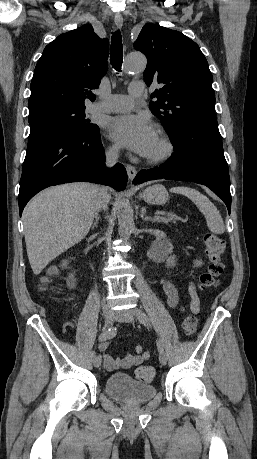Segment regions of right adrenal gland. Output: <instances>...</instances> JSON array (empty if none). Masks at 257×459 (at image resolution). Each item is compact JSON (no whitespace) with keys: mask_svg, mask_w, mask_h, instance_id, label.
Instances as JSON below:
<instances>
[{"mask_svg":"<svg viewBox=\"0 0 257 459\" xmlns=\"http://www.w3.org/2000/svg\"><path fill=\"white\" fill-rule=\"evenodd\" d=\"M95 221L93 222L92 226H91V229H94V228H97L98 226V221H99V216H98V212L95 213Z\"/></svg>","mask_w":257,"mask_h":459,"instance_id":"1","label":"right adrenal gland"}]
</instances>
